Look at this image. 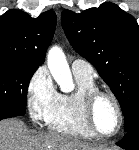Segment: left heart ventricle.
Returning a JSON list of instances; mask_svg holds the SVG:
<instances>
[{"instance_id": "1", "label": "left heart ventricle", "mask_w": 139, "mask_h": 150, "mask_svg": "<svg viewBox=\"0 0 139 150\" xmlns=\"http://www.w3.org/2000/svg\"><path fill=\"white\" fill-rule=\"evenodd\" d=\"M94 123L97 129L104 134L112 133L118 123V116L112 101L107 97H100L94 106Z\"/></svg>"}]
</instances>
